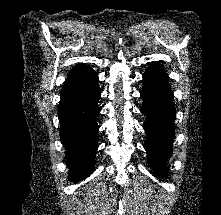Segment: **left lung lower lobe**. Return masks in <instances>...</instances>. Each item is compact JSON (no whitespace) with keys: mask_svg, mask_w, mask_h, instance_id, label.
<instances>
[{"mask_svg":"<svg viewBox=\"0 0 221 215\" xmlns=\"http://www.w3.org/2000/svg\"><path fill=\"white\" fill-rule=\"evenodd\" d=\"M143 81L141 111L146 115L143 128L147 133L144 148L149 165L154 172L161 174L166 160L172 154L171 146L175 136L173 93L167 73L156 63L147 68Z\"/></svg>","mask_w":221,"mask_h":215,"instance_id":"0a47b994","label":"left lung lower lobe"}]
</instances>
